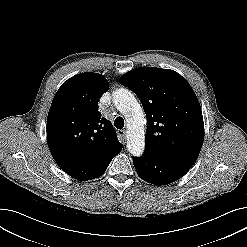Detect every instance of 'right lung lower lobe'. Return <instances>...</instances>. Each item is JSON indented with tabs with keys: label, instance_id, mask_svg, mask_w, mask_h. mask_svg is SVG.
<instances>
[{
	"label": "right lung lower lobe",
	"instance_id": "1",
	"mask_svg": "<svg viewBox=\"0 0 247 247\" xmlns=\"http://www.w3.org/2000/svg\"><path fill=\"white\" fill-rule=\"evenodd\" d=\"M122 150H116L103 157L102 159L88 165H72L66 163H58L59 167L71 177L80 181H87L101 176L112 158Z\"/></svg>",
	"mask_w": 247,
	"mask_h": 247
}]
</instances>
